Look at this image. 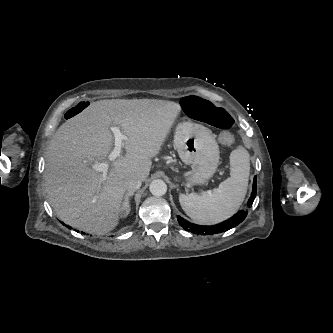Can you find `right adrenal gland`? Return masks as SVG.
<instances>
[{"label":"right adrenal gland","instance_id":"2a0ac1e0","mask_svg":"<svg viewBox=\"0 0 333 333\" xmlns=\"http://www.w3.org/2000/svg\"><path fill=\"white\" fill-rule=\"evenodd\" d=\"M133 196V192L126 193L124 201L122 203L121 211L123 212V217H126L130 212L129 198Z\"/></svg>","mask_w":333,"mask_h":333}]
</instances>
